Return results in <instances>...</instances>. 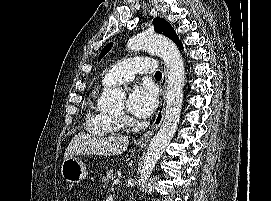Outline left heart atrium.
Returning a JSON list of instances; mask_svg holds the SVG:
<instances>
[{"mask_svg":"<svg viewBox=\"0 0 271 201\" xmlns=\"http://www.w3.org/2000/svg\"><path fill=\"white\" fill-rule=\"evenodd\" d=\"M156 105V91L148 83L133 86L126 101L127 110L139 118L150 116L154 112Z\"/></svg>","mask_w":271,"mask_h":201,"instance_id":"1","label":"left heart atrium"}]
</instances>
